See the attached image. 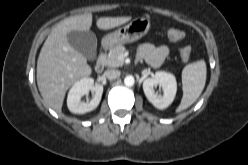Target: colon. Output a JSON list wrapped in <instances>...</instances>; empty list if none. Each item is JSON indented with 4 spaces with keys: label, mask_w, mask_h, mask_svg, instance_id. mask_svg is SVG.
<instances>
[{
    "label": "colon",
    "mask_w": 248,
    "mask_h": 165,
    "mask_svg": "<svg viewBox=\"0 0 248 165\" xmlns=\"http://www.w3.org/2000/svg\"><path fill=\"white\" fill-rule=\"evenodd\" d=\"M184 32L178 29H169L167 31V37L171 40V41H181L184 39ZM192 54V49L189 45H185L180 49V56L182 58L183 61H188L191 57Z\"/></svg>",
    "instance_id": "colon-1"
}]
</instances>
